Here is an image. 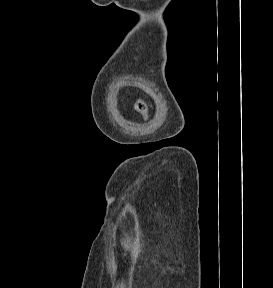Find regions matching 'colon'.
I'll list each match as a JSON object with an SVG mask.
<instances>
[{"label":"colon","instance_id":"colon-1","mask_svg":"<svg viewBox=\"0 0 273 288\" xmlns=\"http://www.w3.org/2000/svg\"><path fill=\"white\" fill-rule=\"evenodd\" d=\"M134 109L137 113H139L143 117H146L148 113V104L143 99H137L134 105Z\"/></svg>","mask_w":273,"mask_h":288}]
</instances>
